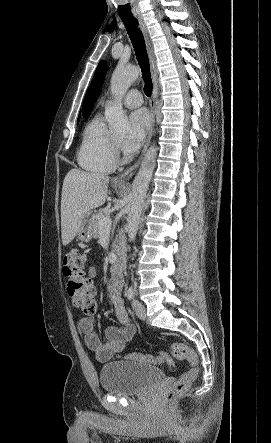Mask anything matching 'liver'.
Returning a JSON list of instances; mask_svg holds the SVG:
<instances>
[{"mask_svg": "<svg viewBox=\"0 0 271 443\" xmlns=\"http://www.w3.org/2000/svg\"><path fill=\"white\" fill-rule=\"evenodd\" d=\"M109 176L70 170L63 182L61 194L62 243L67 245L80 229L83 218L106 202Z\"/></svg>", "mask_w": 271, "mask_h": 443, "instance_id": "1", "label": "liver"}]
</instances>
